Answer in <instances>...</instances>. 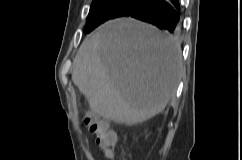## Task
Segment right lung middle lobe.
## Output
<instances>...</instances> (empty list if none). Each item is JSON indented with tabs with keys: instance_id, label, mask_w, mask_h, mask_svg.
<instances>
[{
	"instance_id": "right-lung-middle-lobe-1",
	"label": "right lung middle lobe",
	"mask_w": 242,
	"mask_h": 160,
	"mask_svg": "<svg viewBox=\"0 0 242 160\" xmlns=\"http://www.w3.org/2000/svg\"><path fill=\"white\" fill-rule=\"evenodd\" d=\"M145 0H93L84 33H89L106 20L125 16Z\"/></svg>"
}]
</instances>
